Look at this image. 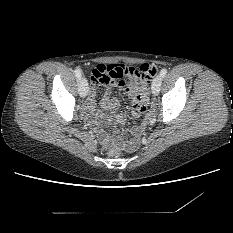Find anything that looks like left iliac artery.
Listing matches in <instances>:
<instances>
[{"instance_id": "obj_1", "label": "left iliac artery", "mask_w": 233, "mask_h": 233, "mask_svg": "<svg viewBox=\"0 0 233 233\" xmlns=\"http://www.w3.org/2000/svg\"><path fill=\"white\" fill-rule=\"evenodd\" d=\"M166 74H167V69H166V68H164V69H162V70L160 71V75H161L162 77H164Z\"/></svg>"}]
</instances>
